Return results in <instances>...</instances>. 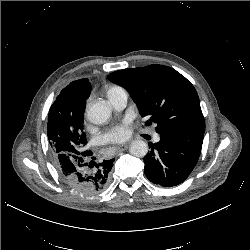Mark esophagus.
<instances>
[{
    "label": "esophagus",
    "mask_w": 250,
    "mask_h": 250,
    "mask_svg": "<svg viewBox=\"0 0 250 250\" xmlns=\"http://www.w3.org/2000/svg\"><path fill=\"white\" fill-rule=\"evenodd\" d=\"M128 147H129V144H122V145L117 146V147H116V150H117L118 152H120V151L126 150Z\"/></svg>",
    "instance_id": "obj_1"
}]
</instances>
